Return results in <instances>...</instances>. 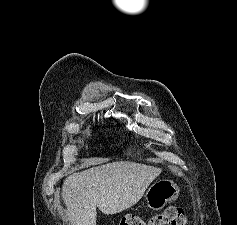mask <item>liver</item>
Returning <instances> with one entry per match:
<instances>
[{
  "label": "liver",
  "instance_id": "6515ba94",
  "mask_svg": "<svg viewBox=\"0 0 237 225\" xmlns=\"http://www.w3.org/2000/svg\"><path fill=\"white\" fill-rule=\"evenodd\" d=\"M161 171L134 162H113L68 176L62 198L71 225H96V207L107 215L132 207Z\"/></svg>",
  "mask_w": 237,
  "mask_h": 225
}]
</instances>
